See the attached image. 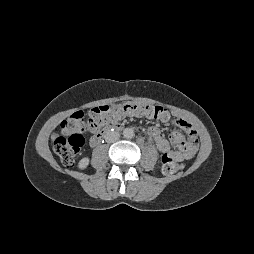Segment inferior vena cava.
Masks as SVG:
<instances>
[{
  "label": "inferior vena cava",
  "instance_id": "1",
  "mask_svg": "<svg viewBox=\"0 0 254 254\" xmlns=\"http://www.w3.org/2000/svg\"><path fill=\"white\" fill-rule=\"evenodd\" d=\"M105 141L108 143H114L120 138V134L117 131L108 130L104 135Z\"/></svg>",
  "mask_w": 254,
  "mask_h": 254
}]
</instances>
